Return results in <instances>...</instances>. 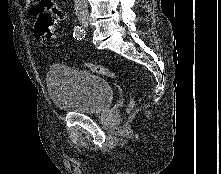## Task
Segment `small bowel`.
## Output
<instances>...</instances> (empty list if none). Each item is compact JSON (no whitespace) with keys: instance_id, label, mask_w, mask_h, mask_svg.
<instances>
[{"instance_id":"obj_1","label":"small bowel","mask_w":221,"mask_h":174,"mask_svg":"<svg viewBox=\"0 0 221 174\" xmlns=\"http://www.w3.org/2000/svg\"><path fill=\"white\" fill-rule=\"evenodd\" d=\"M32 15L38 19L42 14H49L58 21H65L67 14L53 0H26Z\"/></svg>"}]
</instances>
